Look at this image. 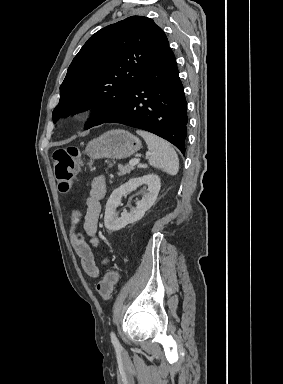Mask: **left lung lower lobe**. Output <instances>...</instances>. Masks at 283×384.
Returning <instances> with one entry per match:
<instances>
[{"instance_id": "left-lung-lower-lobe-1", "label": "left lung lower lobe", "mask_w": 283, "mask_h": 384, "mask_svg": "<svg viewBox=\"0 0 283 384\" xmlns=\"http://www.w3.org/2000/svg\"><path fill=\"white\" fill-rule=\"evenodd\" d=\"M108 122L152 132L185 154L187 106L171 48L138 80L124 105L100 124Z\"/></svg>"}]
</instances>
